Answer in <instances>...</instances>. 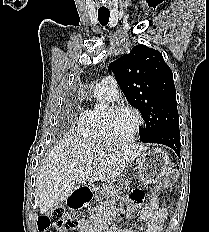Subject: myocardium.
I'll return each mask as SVG.
<instances>
[{"mask_svg":"<svg viewBox=\"0 0 209 232\" xmlns=\"http://www.w3.org/2000/svg\"><path fill=\"white\" fill-rule=\"evenodd\" d=\"M123 110L130 111L135 115L136 126H135L133 132L131 134H129L128 136L117 137V136H114L111 132L110 119L114 113H116L118 111H123ZM102 124H103V131H104V134H105V137L107 138V140L116 141V142H127V141L132 140L136 136V134L139 132V130L141 129V127L143 125V117H142L141 113L139 112V110L131 105H127V104L111 105L103 113Z\"/></svg>","mask_w":209,"mask_h":232,"instance_id":"obj_1","label":"myocardium"}]
</instances>
